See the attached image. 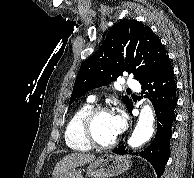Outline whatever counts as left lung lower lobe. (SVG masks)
Wrapping results in <instances>:
<instances>
[{"label": "left lung lower lobe", "mask_w": 194, "mask_h": 178, "mask_svg": "<svg viewBox=\"0 0 194 178\" xmlns=\"http://www.w3.org/2000/svg\"><path fill=\"white\" fill-rule=\"evenodd\" d=\"M142 93L149 97L157 116V132L151 145L140 153L154 167L158 178L162 175L169 158L171 126L175 119L174 108L177 104L176 83L173 67L167 56L161 65L149 76L140 81ZM133 104L128 108L132 113ZM116 154H127L123 145L113 150ZM132 151H129L131 153ZM138 155V153H135Z\"/></svg>", "instance_id": "1"}]
</instances>
